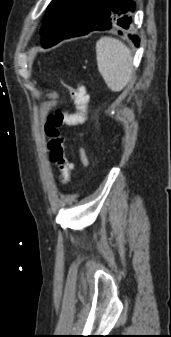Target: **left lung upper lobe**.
<instances>
[{
	"label": "left lung upper lobe",
	"instance_id": "left-lung-upper-lobe-1",
	"mask_svg": "<svg viewBox=\"0 0 171 337\" xmlns=\"http://www.w3.org/2000/svg\"><path fill=\"white\" fill-rule=\"evenodd\" d=\"M85 0H52L40 30L44 48L57 44L76 24Z\"/></svg>",
	"mask_w": 171,
	"mask_h": 337
}]
</instances>
